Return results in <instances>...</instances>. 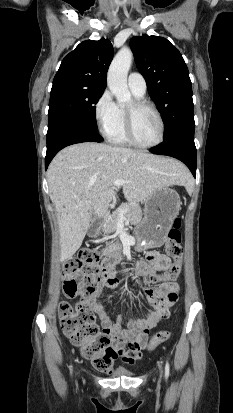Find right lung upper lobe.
<instances>
[{
    "instance_id": "right-lung-upper-lobe-1",
    "label": "right lung upper lobe",
    "mask_w": 233,
    "mask_h": 413,
    "mask_svg": "<svg viewBox=\"0 0 233 413\" xmlns=\"http://www.w3.org/2000/svg\"><path fill=\"white\" fill-rule=\"evenodd\" d=\"M112 58L113 47L108 39L83 41L63 59L53 85L72 83L104 90Z\"/></svg>"
}]
</instances>
